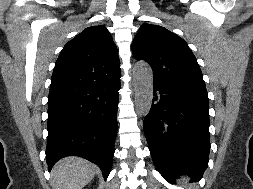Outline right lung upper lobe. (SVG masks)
<instances>
[{
	"label": "right lung upper lobe",
	"mask_w": 253,
	"mask_h": 189,
	"mask_svg": "<svg viewBox=\"0 0 253 189\" xmlns=\"http://www.w3.org/2000/svg\"><path fill=\"white\" fill-rule=\"evenodd\" d=\"M121 74L117 47L104 26L86 28L61 51L50 87L95 84Z\"/></svg>",
	"instance_id": "1"
}]
</instances>
